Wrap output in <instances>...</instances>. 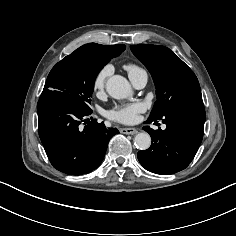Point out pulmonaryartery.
Wrapping results in <instances>:
<instances>
[{"instance_id":"pulmonary-artery-1","label":"pulmonary artery","mask_w":236,"mask_h":236,"mask_svg":"<svg viewBox=\"0 0 236 236\" xmlns=\"http://www.w3.org/2000/svg\"><path fill=\"white\" fill-rule=\"evenodd\" d=\"M130 79L136 88L141 89L146 85L148 81V75L146 71H143L137 74L136 76L130 77Z\"/></svg>"}]
</instances>
